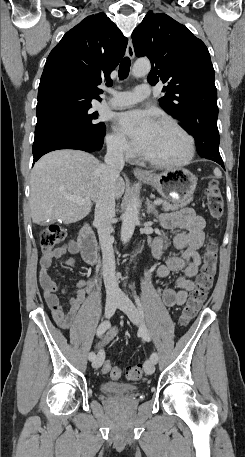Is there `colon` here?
<instances>
[{"mask_svg": "<svg viewBox=\"0 0 245 457\" xmlns=\"http://www.w3.org/2000/svg\"><path fill=\"white\" fill-rule=\"evenodd\" d=\"M207 211L212 219L218 220L223 216L224 203L219 183L211 179L206 189ZM65 239V231L58 225H50L40 232V244L43 252H52ZM217 270V244L215 240H209L203 251V264L197 284L192 290L189 299L180 313V324L187 325L196 316L202 303L205 301L212 287ZM104 374H109L112 379L121 377V370L109 360L103 363L101 368ZM143 376L141 365H134L126 370V377L130 381H138Z\"/></svg>", "mask_w": 245, "mask_h": 457, "instance_id": "1", "label": "colon"}]
</instances>
